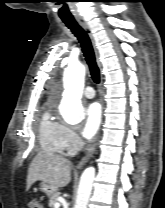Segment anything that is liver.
<instances>
[{
	"mask_svg": "<svg viewBox=\"0 0 165 208\" xmlns=\"http://www.w3.org/2000/svg\"><path fill=\"white\" fill-rule=\"evenodd\" d=\"M72 163L55 154L39 153L32 160L27 176L26 189L38 180L48 183L57 190L65 187L71 180Z\"/></svg>",
	"mask_w": 165,
	"mask_h": 208,
	"instance_id": "1",
	"label": "liver"
}]
</instances>
